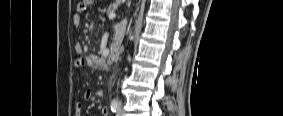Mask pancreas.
Wrapping results in <instances>:
<instances>
[{
    "label": "pancreas",
    "mask_w": 283,
    "mask_h": 116,
    "mask_svg": "<svg viewBox=\"0 0 283 116\" xmlns=\"http://www.w3.org/2000/svg\"><path fill=\"white\" fill-rule=\"evenodd\" d=\"M118 8V5L117 4H111L109 7H108V10H107V14L109 15L110 13H114V11Z\"/></svg>",
    "instance_id": "pancreas-1"
}]
</instances>
